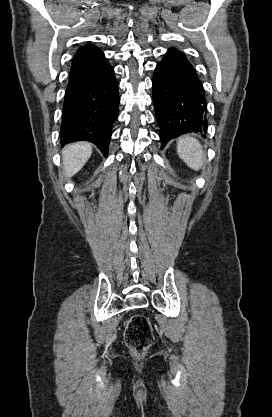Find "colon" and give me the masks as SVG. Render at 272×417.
I'll return each instance as SVG.
<instances>
[{
    "instance_id": "obj_1",
    "label": "colon",
    "mask_w": 272,
    "mask_h": 417,
    "mask_svg": "<svg viewBox=\"0 0 272 417\" xmlns=\"http://www.w3.org/2000/svg\"><path fill=\"white\" fill-rule=\"evenodd\" d=\"M125 342L137 357L143 356L153 343L154 335L148 319L141 314L132 315L125 326Z\"/></svg>"
}]
</instances>
